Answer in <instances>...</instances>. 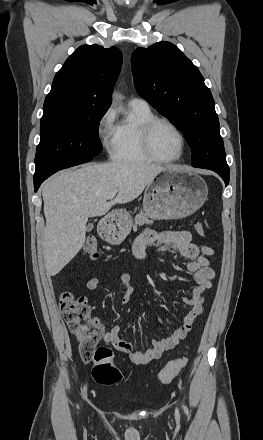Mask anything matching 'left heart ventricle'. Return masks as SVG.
<instances>
[{
	"label": "left heart ventricle",
	"mask_w": 263,
	"mask_h": 440,
	"mask_svg": "<svg viewBox=\"0 0 263 440\" xmlns=\"http://www.w3.org/2000/svg\"><path fill=\"white\" fill-rule=\"evenodd\" d=\"M153 152L160 158L176 157L181 149V141L173 128L165 123H159L151 136Z\"/></svg>",
	"instance_id": "1"
}]
</instances>
